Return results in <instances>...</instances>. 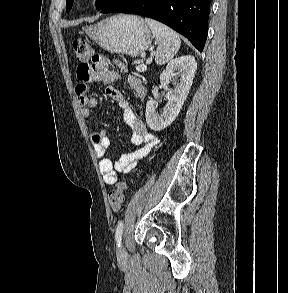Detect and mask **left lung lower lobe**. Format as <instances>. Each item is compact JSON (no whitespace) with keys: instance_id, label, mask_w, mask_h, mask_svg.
I'll list each match as a JSON object with an SVG mask.
<instances>
[{"instance_id":"0a47b994","label":"left lung lower lobe","mask_w":288,"mask_h":293,"mask_svg":"<svg viewBox=\"0 0 288 293\" xmlns=\"http://www.w3.org/2000/svg\"><path fill=\"white\" fill-rule=\"evenodd\" d=\"M211 0H116L101 13H127L160 21L203 51Z\"/></svg>"}]
</instances>
